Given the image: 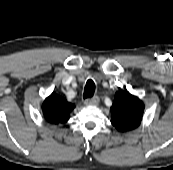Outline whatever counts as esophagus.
Listing matches in <instances>:
<instances>
[{
    "label": "esophagus",
    "mask_w": 173,
    "mask_h": 170,
    "mask_svg": "<svg viewBox=\"0 0 173 170\" xmlns=\"http://www.w3.org/2000/svg\"><path fill=\"white\" fill-rule=\"evenodd\" d=\"M99 97L94 96L92 98H88L84 101L85 105H98L99 104Z\"/></svg>",
    "instance_id": "34e87169"
}]
</instances>
